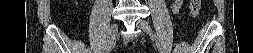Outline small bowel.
<instances>
[{"mask_svg": "<svg viewBox=\"0 0 253 53\" xmlns=\"http://www.w3.org/2000/svg\"><path fill=\"white\" fill-rule=\"evenodd\" d=\"M180 8V1L175 2V4L172 6V11L176 13Z\"/></svg>", "mask_w": 253, "mask_h": 53, "instance_id": "c3829d8e", "label": "small bowel"}]
</instances>
